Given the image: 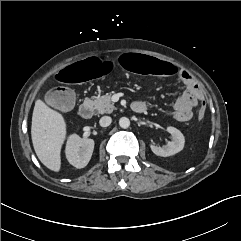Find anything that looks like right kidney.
I'll use <instances>...</instances> for the list:
<instances>
[{
    "mask_svg": "<svg viewBox=\"0 0 241 241\" xmlns=\"http://www.w3.org/2000/svg\"><path fill=\"white\" fill-rule=\"evenodd\" d=\"M94 150V140L71 135L66 144V157L71 165L84 168L89 163Z\"/></svg>",
    "mask_w": 241,
    "mask_h": 241,
    "instance_id": "ca27d5eb",
    "label": "right kidney"
}]
</instances>
